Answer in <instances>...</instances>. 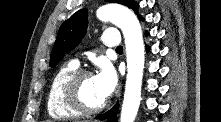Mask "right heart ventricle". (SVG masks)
Segmentation results:
<instances>
[{"mask_svg": "<svg viewBox=\"0 0 221 122\" xmlns=\"http://www.w3.org/2000/svg\"><path fill=\"white\" fill-rule=\"evenodd\" d=\"M79 69V64L69 61L63 64L54 74L47 93V110L54 119H71L81 115L69 107L62 96V87L67 78Z\"/></svg>", "mask_w": 221, "mask_h": 122, "instance_id": "e07e8e85", "label": "right heart ventricle"}]
</instances>
